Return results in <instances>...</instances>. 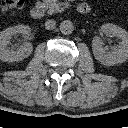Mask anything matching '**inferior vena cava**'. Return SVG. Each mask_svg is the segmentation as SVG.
<instances>
[{
    "label": "inferior vena cava",
    "mask_w": 128,
    "mask_h": 128,
    "mask_svg": "<svg viewBox=\"0 0 128 128\" xmlns=\"http://www.w3.org/2000/svg\"><path fill=\"white\" fill-rule=\"evenodd\" d=\"M55 25H56V22L53 19L47 20L45 22V28L48 30L53 29L55 27Z\"/></svg>",
    "instance_id": "inferior-vena-cava-1"
}]
</instances>
